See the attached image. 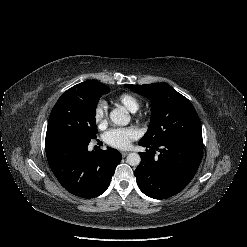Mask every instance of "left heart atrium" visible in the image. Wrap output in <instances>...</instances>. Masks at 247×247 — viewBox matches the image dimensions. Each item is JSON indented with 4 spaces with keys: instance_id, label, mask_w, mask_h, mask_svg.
Returning a JSON list of instances; mask_svg holds the SVG:
<instances>
[{
    "instance_id": "obj_1",
    "label": "left heart atrium",
    "mask_w": 247,
    "mask_h": 247,
    "mask_svg": "<svg viewBox=\"0 0 247 247\" xmlns=\"http://www.w3.org/2000/svg\"><path fill=\"white\" fill-rule=\"evenodd\" d=\"M137 136L138 133L134 128H114L105 134V140L115 148L125 149Z\"/></svg>"
}]
</instances>
